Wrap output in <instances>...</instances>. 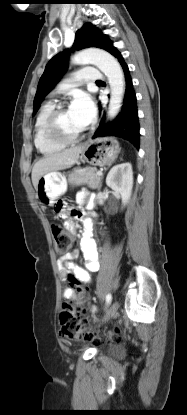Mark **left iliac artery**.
<instances>
[{"instance_id": "left-iliac-artery-1", "label": "left iliac artery", "mask_w": 187, "mask_h": 415, "mask_svg": "<svg viewBox=\"0 0 187 415\" xmlns=\"http://www.w3.org/2000/svg\"><path fill=\"white\" fill-rule=\"evenodd\" d=\"M111 300H112V295L111 294H107V296H106V303H107V305L110 304Z\"/></svg>"}]
</instances>
